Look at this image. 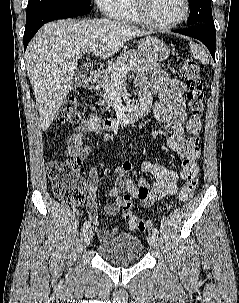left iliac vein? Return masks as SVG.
<instances>
[{"mask_svg":"<svg viewBox=\"0 0 239 303\" xmlns=\"http://www.w3.org/2000/svg\"><path fill=\"white\" fill-rule=\"evenodd\" d=\"M148 243L153 249H158L159 248V241L158 237L154 234H150L148 236Z\"/></svg>","mask_w":239,"mask_h":303,"instance_id":"left-iliac-vein-1","label":"left iliac vein"}]
</instances>
